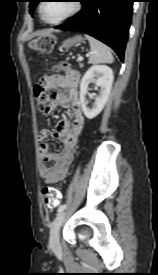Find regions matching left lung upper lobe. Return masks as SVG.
I'll list each match as a JSON object with an SVG mask.
<instances>
[{
    "instance_id": "1",
    "label": "left lung upper lobe",
    "mask_w": 158,
    "mask_h": 275,
    "mask_svg": "<svg viewBox=\"0 0 158 275\" xmlns=\"http://www.w3.org/2000/svg\"><path fill=\"white\" fill-rule=\"evenodd\" d=\"M30 2V13L32 12L33 8L40 2V0H29Z\"/></svg>"
}]
</instances>
